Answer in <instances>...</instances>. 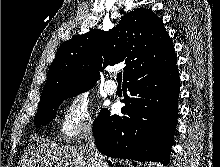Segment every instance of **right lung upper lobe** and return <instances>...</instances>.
<instances>
[{
  "instance_id": "1",
  "label": "right lung upper lobe",
  "mask_w": 220,
  "mask_h": 167,
  "mask_svg": "<svg viewBox=\"0 0 220 167\" xmlns=\"http://www.w3.org/2000/svg\"><path fill=\"white\" fill-rule=\"evenodd\" d=\"M175 61L174 47L162 20L149 9H134L108 32L92 29L64 42L48 70L40 101L62 90L93 86L98 69L108 65L126 64L125 81Z\"/></svg>"
}]
</instances>
